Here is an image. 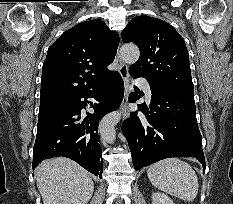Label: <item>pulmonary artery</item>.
Instances as JSON below:
<instances>
[{
    "label": "pulmonary artery",
    "instance_id": "1",
    "mask_svg": "<svg viewBox=\"0 0 233 204\" xmlns=\"http://www.w3.org/2000/svg\"><path fill=\"white\" fill-rule=\"evenodd\" d=\"M137 82L140 84V86L143 88L145 95L148 99L151 98L152 94H151V89H150V85L148 83V81L144 78H139L137 80Z\"/></svg>",
    "mask_w": 233,
    "mask_h": 204
}]
</instances>
